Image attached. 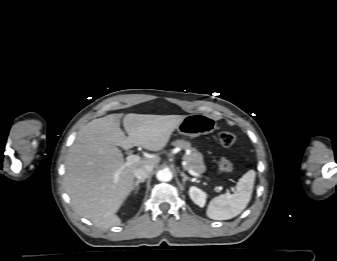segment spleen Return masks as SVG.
Segmentation results:
<instances>
[{
  "mask_svg": "<svg viewBox=\"0 0 337 261\" xmlns=\"http://www.w3.org/2000/svg\"><path fill=\"white\" fill-rule=\"evenodd\" d=\"M255 177L256 172L249 170L239 179L233 194L213 198L208 204L207 216L213 220H228L239 215L251 199Z\"/></svg>",
  "mask_w": 337,
  "mask_h": 261,
  "instance_id": "spleen-1",
  "label": "spleen"
}]
</instances>
